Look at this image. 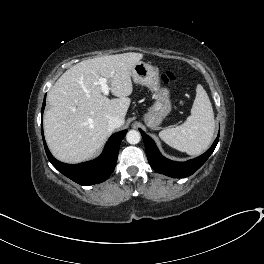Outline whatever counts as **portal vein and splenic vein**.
Listing matches in <instances>:
<instances>
[{"label":"portal vein and splenic vein","mask_w":264,"mask_h":264,"mask_svg":"<svg viewBox=\"0 0 264 264\" xmlns=\"http://www.w3.org/2000/svg\"><path fill=\"white\" fill-rule=\"evenodd\" d=\"M97 84L100 85L101 91L104 95L109 94L110 87L108 85V79H106L104 77H100Z\"/></svg>","instance_id":"obj_1"}]
</instances>
